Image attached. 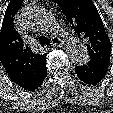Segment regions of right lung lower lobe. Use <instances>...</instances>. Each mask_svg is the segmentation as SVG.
Listing matches in <instances>:
<instances>
[{
  "label": "right lung lower lobe",
  "mask_w": 113,
  "mask_h": 113,
  "mask_svg": "<svg viewBox=\"0 0 113 113\" xmlns=\"http://www.w3.org/2000/svg\"><path fill=\"white\" fill-rule=\"evenodd\" d=\"M46 75H47V71L45 72V74H44L43 76H41V77L37 80V82H36L33 86H31V87L28 89V91H33V90L37 89L39 86H41L42 83H43V81H44V79H45V77H46Z\"/></svg>",
  "instance_id": "1"
}]
</instances>
